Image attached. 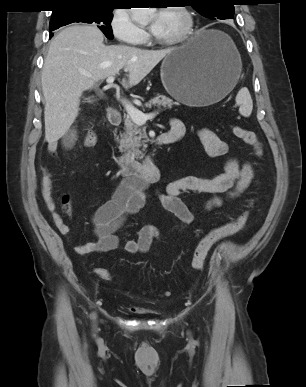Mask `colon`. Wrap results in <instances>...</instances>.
Returning a JSON list of instances; mask_svg holds the SVG:
<instances>
[{"instance_id": "1", "label": "colon", "mask_w": 306, "mask_h": 387, "mask_svg": "<svg viewBox=\"0 0 306 387\" xmlns=\"http://www.w3.org/2000/svg\"><path fill=\"white\" fill-rule=\"evenodd\" d=\"M231 132L235 137L243 141L245 144L251 146L257 157H261L262 146L257 135L253 131L245 129L239 125H232ZM97 142V135L93 132L88 133L84 138V146L87 148L95 147L97 145ZM64 208L67 211H69L70 209V203L68 198L64 199ZM248 218L249 211L246 210L242 212L239 216H237L235 219L212 229L208 234L200 238L193 251L191 261L192 269L195 271H200L204 266L207 254L212 245L217 241L240 231L247 223ZM95 272L100 278L104 280H111L112 278L110 272L105 268H97Z\"/></svg>"}]
</instances>
